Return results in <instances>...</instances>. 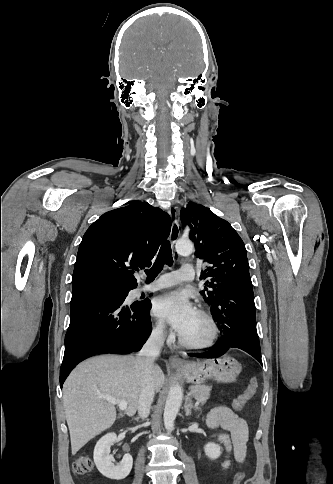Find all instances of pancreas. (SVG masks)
Returning a JSON list of instances; mask_svg holds the SVG:
<instances>
[{
  "label": "pancreas",
  "mask_w": 333,
  "mask_h": 484,
  "mask_svg": "<svg viewBox=\"0 0 333 484\" xmlns=\"http://www.w3.org/2000/svg\"><path fill=\"white\" fill-rule=\"evenodd\" d=\"M212 386L209 385H195L190 387L191 396L202 404L205 403L209 397Z\"/></svg>",
  "instance_id": "pancreas-1"
}]
</instances>
